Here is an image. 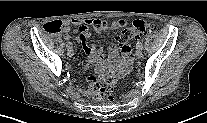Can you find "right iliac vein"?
<instances>
[{
  "label": "right iliac vein",
  "instance_id": "1",
  "mask_svg": "<svg viewBox=\"0 0 207 123\" xmlns=\"http://www.w3.org/2000/svg\"><path fill=\"white\" fill-rule=\"evenodd\" d=\"M67 54H68L69 57H72L73 56V50H72V48H68Z\"/></svg>",
  "mask_w": 207,
  "mask_h": 123
}]
</instances>
